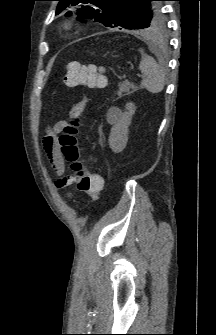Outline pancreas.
<instances>
[{
	"mask_svg": "<svg viewBox=\"0 0 216 335\" xmlns=\"http://www.w3.org/2000/svg\"><path fill=\"white\" fill-rule=\"evenodd\" d=\"M130 89H132V91H130ZM136 90H138V87H136L133 83L125 81L119 84V91L117 92V94L119 97H122L124 95H129Z\"/></svg>",
	"mask_w": 216,
	"mask_h": 335,
	"instance_id": "1",
	"label": "pancreas"
}]
</instances>
